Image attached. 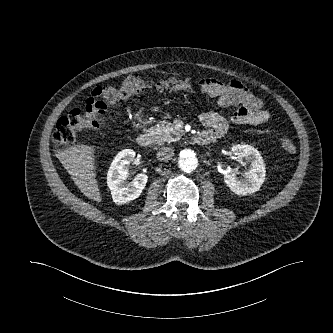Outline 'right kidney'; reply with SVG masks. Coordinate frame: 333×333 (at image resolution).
Segmentation results:
<instances>
[{"label":"right kidney","mask_w":333,"mask_h":333,"mask_svg":"<svg viewBox=\"0 0 333 333\" xmlns=\"http://www.w3.org/2000/svg\"><path fill=\"white\" fill-rule=\"evenodd\" d=\"M135 157L131 149L122 150L114 158L107 173V185L116 204H124L140 196L146 186L148 176L138 174L131 183L125 180L128 176L129 165Z\"/></svg>","instance_id":"1"}]
</instances>
